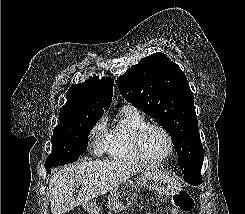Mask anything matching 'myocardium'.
I'll use <instances>...</instances> for the list:
<instances>
[{
    "instance_id": "myocardium-1",
    "label": "myocardium",
    "mask_w": 245,
    "mask_h": 214,
    "mask_svg": "<svg viewBox=\"0 0 245 214\" xmlns=\"http://www.w3.org/2000/svg\"><path fill=\"white\" fill-rule=\"evenodd\" d=\"M150 129H157L161 131L166 136L168 141V152L164 157L157 160H152L148 158L144 151V146H143L144 137ZM134 146L140 159L149 166H158L163 164L172 156L174 152V140L170 132L165 127L154 123H147L137 130L134 136Z\"/></svg>"
}]
</instances>
